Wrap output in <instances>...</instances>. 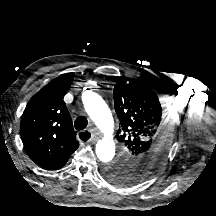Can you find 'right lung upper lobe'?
<instances>
[{
	"instance_id": "right-lung-upper-lobe-1",
	"label": "right lung upper lobe",
	"mask_w": 216,
	"mask_h": 216,
	"mask_svg": "<svg viewBox=\"0 0 216 216\" xmlns=\"http://www.w3.org/2000/svg\"><path fill=\"white\" fill-rule=\"evenodd\" d=\"M74 73L60 75L27 103L20 123V135L29 157L47 170L59 169L78 148L76 132L63 98Z\"/></svg>"
}]
</instances>
